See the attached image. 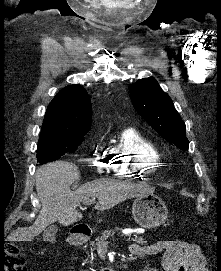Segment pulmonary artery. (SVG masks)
<instances>
[{
    "label": "pulmonary artery",
    "mask_w": 221,
    "mask_h": 271,
    "mask_svg": "<svg viewBox=\"0 0 221 271\" xmlns=\"http://www.w3.org/2000/svg\"><path fill=\"white\" fill-rule=\"evenodd\" d=\"M126 132L127 133H123V138H139V133H136L137 132V129L136 128H127L126 129Z\"/></svg>",
    "instance_id": "obj_1"
}]
</instances>
